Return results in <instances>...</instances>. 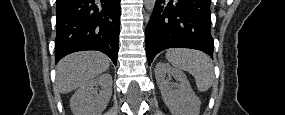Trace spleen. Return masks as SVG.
Returning a JSON list of instances; mask_svg holds the SVG:
<instances>
[{
  "instance_id": "1",
  "label": "spleen",
  "mask_w": 285,
  "mask_h": 115,
  "mask_svg": "<svg viewBox=\"0 0 285 115\" xmlns=\"http://www.w3.org/2000/svg\"><path fill=\"white\" fill-rule=\"evenodd\" d=\"M167 60L176 68L192 74L200 92L209 90L215 76L210 58L199 50L174 48L166 53Z\"/></svg>"
}]
</instances>
